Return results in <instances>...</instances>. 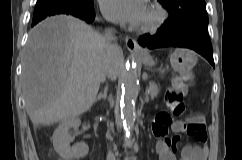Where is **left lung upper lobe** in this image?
Listing matches in <instances>:
<instances>
[{
	"mask_svg": "<svg viewBox=\"0 0 242 160\" xmlns=\"http://www.w3.org/2000/svg\"><path fill=\"white\" fill-rule=\"evenodd\" d=\"M168 11L163 24L170 32L190 25H208L204 0H158Z\"/></svg>",
	"mask_w": 242,
	"mask_h": 160,
	"instance_id": "5c2ea615",
	"label": "left lung upper lobe"
}]
</instances>
